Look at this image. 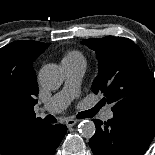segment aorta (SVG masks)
<instances>
[{
    "instance_id": "aorta-1",
    "label": "aorta",
    "mask_w": 155,
    "mask_h": 155,
    "mask_svg": "<svg viewBox=\"0 0 155 155\" xmlns=\"http://www.w3.org/2000/svg\"><path fill=\"white\" fill-rule=\"evenodd\" d=\"M38 77L42 87L54 90L63 83L64 71L56 64H47L41 68ZM78 131L84 138L90 139L95 134L96 127L93 121L83 120L78 125Z\"/></svg>"
}]
</instances>
